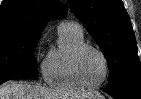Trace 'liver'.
I'll use <instances>...</instances> for the list:
<instances>
[{
    "mask_svg": "<svg viewBox=\"0 0 141 99\" xmlns=\"http://www.w3.org/2000/svg\"><path fill=\"white\" fill-rule=\"evenodd\" d=\"M93 95L103 99L97 92L65 93L28 82H9L0 87V99H88Z\"/></svg>",
    "mask_w": 141,
    "mask_h": 99,
    "instance_id": "liver-1",
    "label": "liver"
}]
</instances>
